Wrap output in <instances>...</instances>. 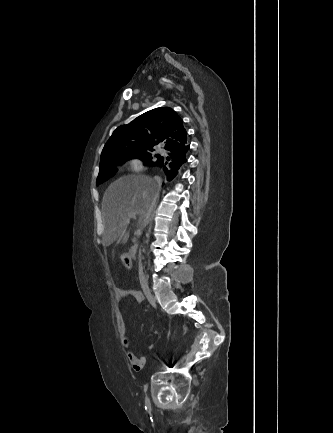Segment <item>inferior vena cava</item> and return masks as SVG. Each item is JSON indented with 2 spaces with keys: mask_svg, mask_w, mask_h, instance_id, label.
<instances>
[{
  "mask_svg": "<svg viewBox=\"0 0 333 433\" xmlns=\"http://www.w3.org/2000/svg\"><path fill=\"white\" fill-rule=\"evenodd\" d=\"M154 182H155V186H156V192H157V195H158L159 192H160V188H161L162 180L160 179V177L155 176V177H154ZM155 202H156V201H154V203H155ZM154 203H153V204H154ZM147 221H148V217H146L145 222L147 223Z\"/></svg>",
  "mask_w": 333,
  "mask_h": 433,
  "instance_id": "obj_1",
  "label": "inferior vena cava"
}]
</instances>
